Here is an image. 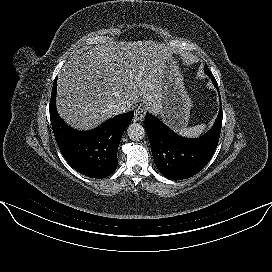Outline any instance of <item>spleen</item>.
I'll return each mask as SVG.
<instances>
[{"instance_id": "spleen-1", "label": "spleen", "mask_w": 272, "mask_h": 272, "mask_svg": "<svg viewBox=\"0 0 272 272\" xmlns=\"http://www.w3.org/2000/svg\"><path fill=\"white\" fill-rule=\"evenodd\" d=\"M206 129L205 124L196 125L189 128H183L179 131V134L185 137L195 138L199 137Z\"/></svg>"}]
</instances>
